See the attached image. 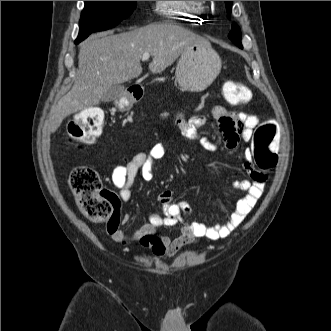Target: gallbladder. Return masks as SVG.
I'll use <instances>...</instances> for the list:
<instances>
[{
	"label": "gallbladder",
	"mask_w": 331,
	"mask_h": 331,
	"mask_svg": "<svg viewBox=\"0 0 331 331\" xmlns=\"http://www.w3.org/2000/svg\"><path fill=\"white\" fill-rule=\"evenodd\" d=\"M124 86L120 84L112 85L106 93L103 94L102 100L104 102H111L119 99L124 94Z\"/></svg>",
	"instance_id": "1"
}]
</instances>
